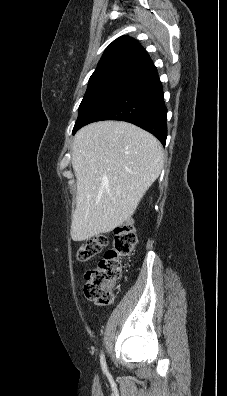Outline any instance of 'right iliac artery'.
Segmentation results:
<instances>
[{"instance_id":"1","label":"right iliac artery","mask_w":227,"mask_h":396,"mask_svg":"<svg viewBox=\"0 0 227 396\" xmlns=\"http://www.w3.org/2000/svg\"><path fill=\"white\" fill-rule=\"evenodd\" d=\"M100 362H101L102 370L104 372H107V366H106L105 357H104L103 353L101 354Z\"/></svg>"}]
</instances>
